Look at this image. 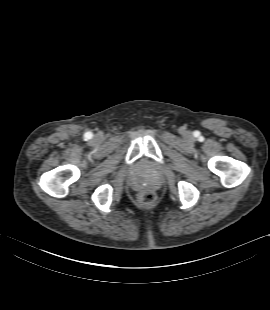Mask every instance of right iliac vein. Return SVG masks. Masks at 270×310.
I'll return each mask as SVG.
<instances>
[{"instance_id": "1", "label": "right iliac vein", "mask_w": 270, "mask_h": 310, "mask_svg": "<svg viewBox=\"0 0 270 310\" xmlns=\"http://www.w3.org/2000/svg\"><path fill=\"white\" fill-rule=\"evenodd\" d=\"M101 139H102V138H101L100 135L96 136V140H97V141H101Z\"/></svg>"}]
</instances>
